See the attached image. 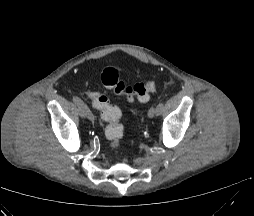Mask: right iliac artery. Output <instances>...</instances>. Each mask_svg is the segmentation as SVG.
Instances as JSON below:
<instances>
[{
	"label": "right iliac artery",
	"instance_id": "right-iliac-artery-1",
	"mask_svg": "<svg viewBox=\"0 0 254 216\" xmlns=\"http://www.w3.org/2000/svg\"><path fill=\"white\" fill-rule=\"evenodd\" d=\"M72 100L76 105L85 109L87 116L91 121L93 122L96 121V116L92 113V111L86 106V104L79 97L73 96Z\"/></svg>",
	"mask_w": 254,
	"mask_h": 216
}]
</instances>
